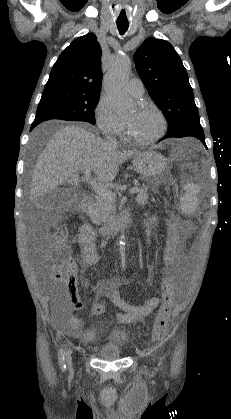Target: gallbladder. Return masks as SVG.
Masks as SVG:
<instances>
[{
	"label": "gallbladder",
	"instance_id": "bac80fb5",
	"mask_svg": "<svg viewBox=\"0 0 231 419\" xmlns=\"http://www.w3.org/2000/svg\"><path fill=\"white\" fill-rule=\"evenodd\" d=\"M66 199V192L61 188H54L42 196L40 204L49 211L55 210Z\"/></svg>",
	"mask_w": 231,
	"mask_h": 419
}]
</instances>
